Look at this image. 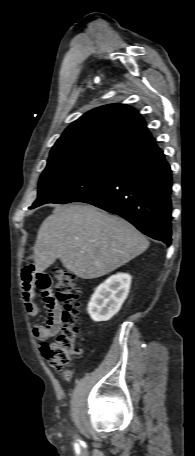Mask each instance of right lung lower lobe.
Returning <instances> with one entry per match:
<instances>
[{
  "mask_svg": "<svg viewBox=\"0 0 195 456\" xmlns=\"http://www.w3.org/2000/svg\"><path fill=\"white\" fill-rule=\"evenodd\" d=\"M172 172L162 150L124 166L105 184L77 199L120 215L144 234L171 244Z\"/></svg>",
  "mask_w": 195,
  "mask_h": 456,
  "instance_id": "right-lung-lower-lobe-1",
  "label": "right lung lower lobe"
}]
</instances>
